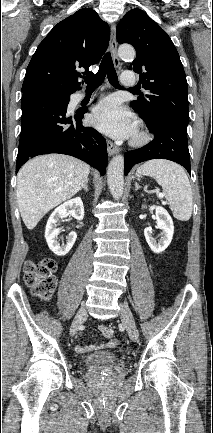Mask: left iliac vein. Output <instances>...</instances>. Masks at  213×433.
Wrapping results in <instances>:
<instances>
[{"instance_id": "left-iliac-vein-1", "label": "left iliac vein", "mask_w": 213, "mask_h": 433, "mask_svg": "<svg viewBox=\"0 0 213 433\" xmlns=\"http://www.w3.org/2000/svg\"><path fill=\"white\" fill-rule=\"evenodd\" d=\"M120 318L127 330L130 339L132 341H136L138 339V330L135 325L133 314L126 304H121Z\"/></svg>"}]
</instances>
